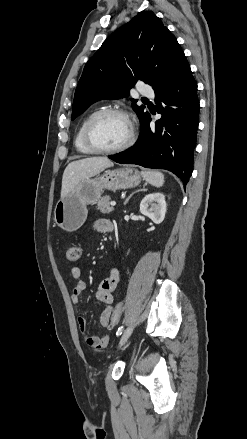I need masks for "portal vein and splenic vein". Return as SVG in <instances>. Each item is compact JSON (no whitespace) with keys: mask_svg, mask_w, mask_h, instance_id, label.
<instances>
[{"mask_svg":"<svg viewBox=\"0 0 247 439\" xmlns=\"http://www.w3.org/2000/svg\"><path fill=\"white\" fill-rule=\"evenodd\" d=\"M110 205H111V206H115V205H116V202H115V201H112V202L110 203Z\"/></svg>","mask_w":247,"mask_h":439,"instance_id":"18ae733b","label":"portal vein and splenic vein"}]
</instances>
